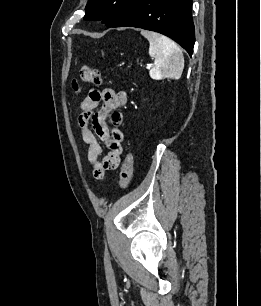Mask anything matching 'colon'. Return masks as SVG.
Instances as JSON below:
<instances>
[{"mask_svg": "<svg viewBox=\"0 0 261 306\" xmlns=\"http://www.w3.org/2000/svg\"><path fill=\"white\" fill-rule=\"evenodd\" d=\"M79 78L85 83H90L94 85L101 84L100 72L97 68L90 65H83L79 72ZM72 89L74 92L78 93L80 91V85L78 80H73ZM133 173V157L130 153L125 156L122 163L119 184L122 188H127Z\"/></svg>", "mask_w": 261, "mask_h": 306, "instance_id": "1", "label": "colon"}]
</instances>
